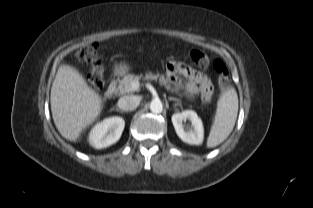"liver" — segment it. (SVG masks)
<instances>
[{
  "instance_id": "1",
  "label": "liver",
  "mask_w": 313,
  "mask_h": 208,
  "mask_svg": "<svg viewBox=\"0 0 313 208\" xmlns=\"http://www.w3.org/2000/svg\"><path fill=\"white\" fill-rule=\"evenodd\" d=\"M50 100L55 126L62 137L69 141L77 140L82 130L95 121L102 109L99 96L69 65L58 68Z\"/></svg>"
}]
</instances>
